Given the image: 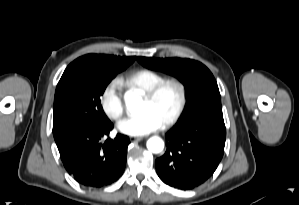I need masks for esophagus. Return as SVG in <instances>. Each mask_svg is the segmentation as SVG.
I'll use <instances>...</instances> for the list:
<instances>
[{
  "mask_svg": "<svg viewBox=\"0 0 299 205\" xmlns=\"http://www.w3.org/2000/svg\"><path fill=\"white\" fill-rule=\"evenodd\" d=\"M129 139H130L131 142H138V141L142 140V137L131 136Z\"/></svg>",
  "mask_w": 299,
  "mask_h": 205,
  "instance_id": "1",
  "label": "esophagus"
}]
</instances>
